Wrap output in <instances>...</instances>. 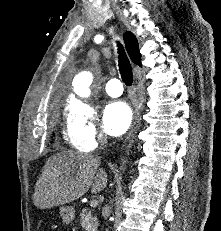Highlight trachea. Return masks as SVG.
I'll return each instance as SVG.
<instances>
[{
	"label": "trachea",
	"instance_id": "obj_1",
	"mask_svg": "<svg viewBox=\"0 0 221 231\" xmlns=\"http://www.w3.org/2000/svg\"><path fill=\"white\" fill-rule=\"evenodd\" d=\"M118 53H119V71L121 74L122 81L130 86L133 82V73L130 61L124 51V48L121 44H118Z\"/></svg>",
	"mask_w": 221,
	"mask_h": 231
}]
</instances>
